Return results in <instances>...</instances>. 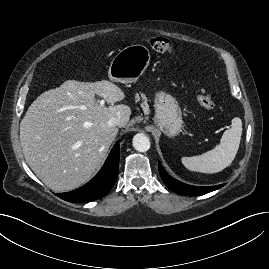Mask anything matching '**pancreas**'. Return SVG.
<instances>
[{
  "instance_id": "cf45deb5",
  "label": "pancreas",
  "mask_w": 269,
  "mask_h": 269,
  "mask_svg": "<svg viewBox=\"0 0 269 269\" xmlns=\"http://www.w3.org/2000/svg\"><path fill=\"white\" fill-rule=\"evenodd\" d=\"M141 99H142V105L144 108L148 109V100H147V97L144 95V94H141ZM140 100V96L139 95H136V101H139Z\"/></svg>"
}]
</instances>
